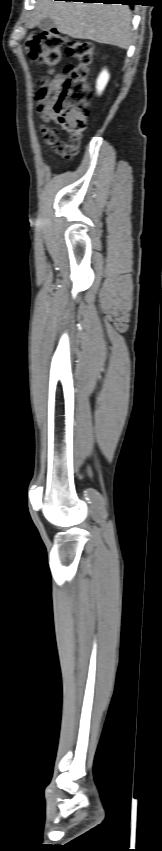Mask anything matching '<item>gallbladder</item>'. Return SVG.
Wrapping results in <instances>:
<instances>
[{"label":"gallbladder","mask_w":162,"mask_h":851,"mask_svg":"<svg viewBox=\"0 0 162 851\" xmlns=\"http://www.w3.org/2000/svg\"><path fill=\"white\" fill-rule=\"evenodd\" d=\"M38 27L43 31H48L54 27V21L46 17L39 22Z\"/></svg>","instance_id":"obj_1"}]
</instances>
